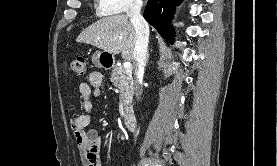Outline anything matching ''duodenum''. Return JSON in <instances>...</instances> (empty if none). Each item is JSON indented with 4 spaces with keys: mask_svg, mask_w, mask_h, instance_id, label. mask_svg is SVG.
<instances>
[{
    "mask_svg": "<svg viewBox=\"0 0 277 166\" xmlns=\"http://www.w3.org/2000/svg\"><path fill=\"white\" fill-rule=\"evenodd\" d=\"M136 125V117L135 114L132 111L126 112L124 116V126L128 130H133Z\"/></svg>",
    "mask_w": 277,
    "mask_h": 166,
    "instance_id": "1",
    "label": "duodenum"
}]
</instances>
